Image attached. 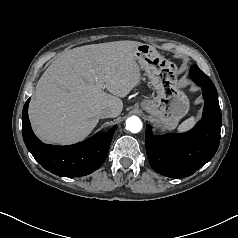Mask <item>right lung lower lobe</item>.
Instances as JSON below:
<instances>
[{"label": "right lung lower lobe", "mask_w": 238, "mask_h": 238, "mask_svg": "<svg viewBox=\"0 0 238 238\" xmlns=\"http://www.w3.org/2000/svg\"><path fill=\"white\" fill-rule=\"evenodd\" d=\"M28 99L22 112L24 142L33 157L46 170L64 177L85 176L97 170L107 157L114 126L109 132L95 136L75 145L54 146L43 144L33 133L28 118Z\"/></svg>", "instance_id": "1"}]
</instances>
